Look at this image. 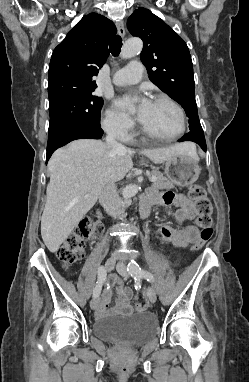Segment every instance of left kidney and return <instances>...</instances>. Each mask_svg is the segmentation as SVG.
<instances>
[{
    "label": "left kidney",
    "instance_id": "1",
    "mask_svg": "<svg viewBox=\"0 0 249 382\" xmlns=\"http://www.w3.org/2000/svg\"><path fill=\"white\" fill-rule=\"evenodd\" d=\"M163 245H149L148 246V256L156 257L158 248H162ZM163 255H166V252H163Z\"/></svg>",
    "mask_w": 249,
    "mask_h": 382
}]
</instances>
